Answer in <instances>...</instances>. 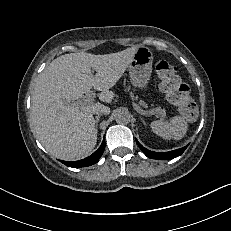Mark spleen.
I'll return each mask as SVG.
<instances>
[{"label": "spleen", "instance_id": "3e777b00", "mask_svg": "<svg viewBox=\"0 0 231 231\" xmlns=\"http://www.w3.org/2000/svg\"><path fill=\"white\" fill-rule=\"evenodd\" d=\"M152 131L164 139L180 140L187 132L188 124L182 116H175L169 122L156 120L150 124Z\"/></svg>", "mask_w": 231, "mask_h": 231}]
</instances>
